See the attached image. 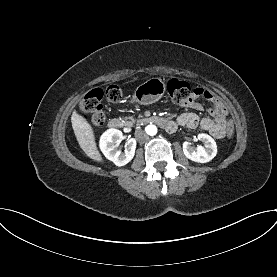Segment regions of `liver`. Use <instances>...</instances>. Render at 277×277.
<instances>
[{
    "label": "liver",
    "instance_id": "obj_1",
    "mask_svg": "<svg viewBox=\"0 0 277 277\" xmlns=\"http://www.w3.org/2000/svg\"><path fill=\"white\" fill-rule=\"evenodd\" d=\"M71 122L74 134L81 149L89 158L97 162H102L103 159L97 148L91 125L76 111L72 114Z\"/></svg>",
    "mask_w": 277,
    "mask_h": 277
}]
</instances>
